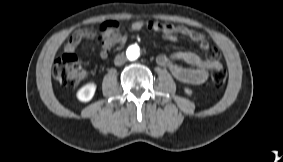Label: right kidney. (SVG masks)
Listing matches in <instances>:
<instances>
[{
	"mask_svg": "<svg viewBox=\"0 0 283 162\" xmlns=\"http://www.w3.org/2000/svg\"><path fill=\"white\" fill-rule=\"evenodd\" d=\"M95 91H96V84L88 83L79 89V91L77 92V98L81 102H88L93 98Z\"/></svg>",
	"mask_w": 283,
	"mask_h": 162,
	"instance_id": "obj_1",
	"label": "right kidney"
}]
</instances>
